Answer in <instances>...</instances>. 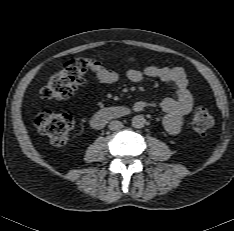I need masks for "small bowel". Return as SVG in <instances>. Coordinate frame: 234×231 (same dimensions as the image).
<instances>
[{
  "mask_svg": "<svg viewBox=\"0 0 234 231\" xmlns=\"http://www.w3.org/2000/svg\"><path fill=\"white\" fill-rule=\"evenodd\" d=\"M128 63H137L138 58L129 56ZM92 70L97 78L105 84H114L118 81V74L110 69L101 66L97 62H92ZM129 81L139 83L146 77L156 78L164 83L170 84L175 90V98H165L163 100H139L132 108L136 112L146 109H160L165 115L162 123L165 130L172 134H178L184 124L187 114L193 106V98L188 88L187 75L181 67H165L160 65H148L143 69H129L127 71Z\"/></svg>",
  "mask_w": 234,
  "mask_h": 231,
  "instance_id": "1",
  "label": "small bowel"
}]
</instances>
